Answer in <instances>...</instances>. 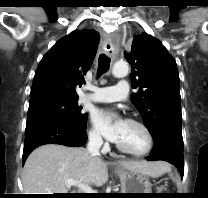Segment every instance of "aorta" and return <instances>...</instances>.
<instances>
[{
  "instance_id": "obj_1",
  "label": "aorta",
  "mask_w": 208,
  "mask_h": 198,
  "mask_svg": "<svg viewBox=\"0 0 208 198\" xmlns=\"http://www.w3.org/2000/svg\"><path fill=\"white\" fill-rule=\"evenodd\" d=\"M129 67L125 62H116L112 69V74L117 78L125 77L128 74Z\"/></svg>"
}]
</instances>
